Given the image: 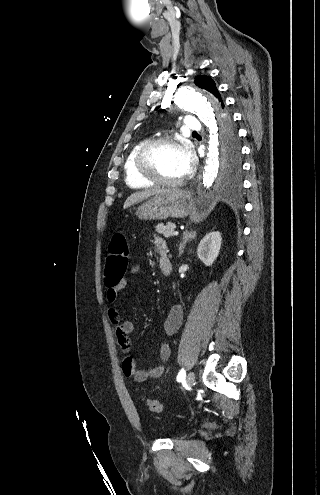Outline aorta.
I'll return each instance as SVG.
<instances>
[{
    "label": "aorta",
    "mask_w": 320,
    "mask_h": 495,
    "mask_svg": "<svg viewBox=\"0 0 320 495\" xmlns=\"http://www.w3.org/2000/svg\"><path fill=\"white\" fill-rule=\"evenodd\" d=\"M173 103L175 106L192 111L206 125L209 130V142L206 164L203 173V186L209 189L215 184L219 170V142L216 115L219 113L217 100L202 89H186L176 93ZM224 181L222 187H227ZM206 203L199 204L205 209Z\"/></svg>",
    "instance_id": "aorta-1"
}]
</instances>
